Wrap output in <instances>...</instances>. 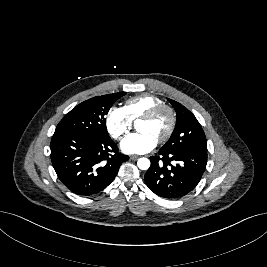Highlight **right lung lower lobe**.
Returning <instances> with one entry per match:
<instances>
[{"mask_svg":"<svg viewBox=\"0 0 267 267\" xmlns=\"http://www.w3.org/2000/svg\"><path fill=\"white\" fill-rule=\"evenodd\" d=\"M50 148L58 178L71 192L81 196L105 189L120 165L129 159L118 153L109 136L54 134Z\"/></svg>","mask_w":267,"mask_h":267,"instance_id":"right-lung-lower-lobe-1","label":"right lung lower lobe"}]
</instances>
